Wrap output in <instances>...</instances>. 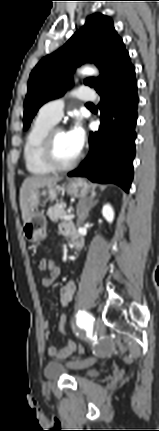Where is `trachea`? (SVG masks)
<instances>
[{
  "mask_svg": "<svg viewBox=\"0 0 159 431\" xmlns=\"http://www.w3.org/2000/svg\"><path fill=\"white\" fill-rule=\"evenodd\" d=\"M87 105H93L92 103H87Z\"/></svg>",
  "mask_w": 159,
  "mask_h": 431,
  "instance_id": "obj_1",
  "label": "trachea"
}]
</instances>
